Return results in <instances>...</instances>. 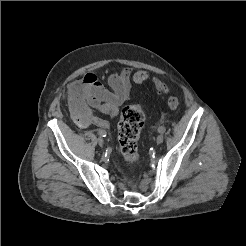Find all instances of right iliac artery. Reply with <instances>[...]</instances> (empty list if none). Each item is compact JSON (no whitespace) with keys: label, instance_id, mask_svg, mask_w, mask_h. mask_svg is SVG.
<instances>
[{"label":"right iliac artery","instance_id":"82829eb1","mask_svg":"<svg viewBox=\"0 0 246 246\" xmlns=\"http://www.w3.org/2000/svg\"><path fill=\"white\" fill-rule=\"evenodd\" d=\"M98 134L102 137H105L106 136V132L104 130H99L98 131Z\"/></svg>","mask_w":246,"mask_h":246}]
</instances>
